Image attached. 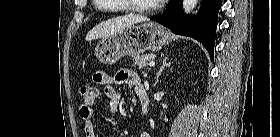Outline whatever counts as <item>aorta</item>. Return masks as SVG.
Segmentation results:
<instances>
[{"mask_svg":"<svg viewBox=\"0 0 280 137\" xmlns=\"http://www.w3.org/2000/svg\"><path fill=\"white\" fill-rule=\"evenodd\" d=\"M198 3V0H184L183 1V11L188 14L194 10Z\"/></svg>","mask_w":280,"mask_h":137,"instance_id":"762f6f07","label":"aorta"}]
</instances>
